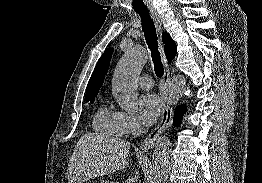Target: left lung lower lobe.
I'll use <instances>...</instances> for the list:
<instances>
[{"mask_svg":"<svg viewBox=\"0 0 262 183\" xmlns=\"http://www.w3.org/2000/svg\"><path fill=\"white\" fill-rule=\"evenodd\" d=\"M185 112H186V106L185 105L177 106V108L175 109V114H174V125L175 126L180 125L181 118L185 114Z\"/></svg>","mask_w":262,"mask_h":183,"instance_id":"1","label":"left lung lower lobe"}]
</instances>
